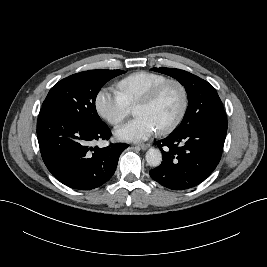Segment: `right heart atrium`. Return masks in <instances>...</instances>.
Here are the masks:
<instances>
[{"mask_svg": "<svg viewBox=\"0 0 267 267\" xmlns=\"http://www.w3.org/2000/svg\"><path fill=\"white\" fill-rule=\"evenodd\" d=\"M95 108L101 118L113 126L121 124L130 114V105L116 91L104 88L95 97Z\"/></svg>", "mask_w": 267, "mask_h": 267, "instance_id": "d8ad5b80", "label": "right heart atrium"}]
</instances>
